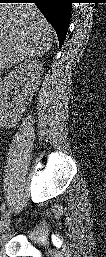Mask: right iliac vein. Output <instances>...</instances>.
Listing matches in <instances>:
<instances>
[{
  "label": "right iliac vein",
  "mask_w": 106,
  "mask_h": 257,
  "mask_svg": "<svg viewBox=\"0 0 106 257\" xmlns=\"http://www.w3.org/2000/svg\"><path fill=\"white\" fill-rule=\"evenodd\" d=\"M10 219H11V212L10 211H6V213L4 214V217L0 223V231L4 232L10 223Z\"/></svg>",
  "instance_id": "1"
}]
</instances>
